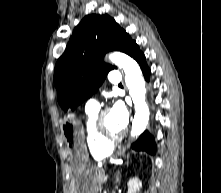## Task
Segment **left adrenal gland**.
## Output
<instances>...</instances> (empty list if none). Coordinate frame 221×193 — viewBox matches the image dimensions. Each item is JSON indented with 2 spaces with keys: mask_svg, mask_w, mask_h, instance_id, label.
<instances>
[{
  "mask_svg": "<svg viewBox=\"0 0 221 193\" xmlns=\"http://www.w3.org/2000/svg\"><path fill=\"white\" fill-rule=\"evenodd\" d=\"M120 178H121V172L118 171L116 174V182H119Z\"/></svg>",
  "mask_w": 221,
  "mask_h": 193,
  "instance_id": "1",
  "label": "left adrenal gland"
}]
</instances>
